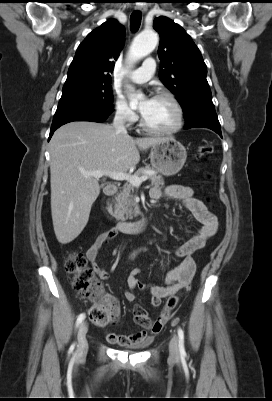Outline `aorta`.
<instances>
[{
    "label": "aorta",
    "mask_w": 272,
    "mask_h": 401,
    "mask_svg": "<svg viewBox=\"0 0 272 401\" xmlns=\"http://www.w3.org/2000/svg\"><path fill=\"white\" fill-rule=\"evenodd\" d=\"M158 43V35L151 32L140 33L133 41L130 50L129 58L133 61L139 60L148 54H150ZM144 95L142 93L132 95L130 105H137L140 99H143Z\"/></svg>",
    "instance_id": "762f6f07"
}]
</instances>
